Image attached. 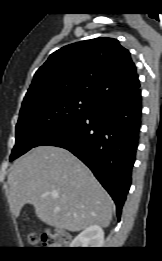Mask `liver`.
<instances>
[{
  "label": "liver",
  "instance_id": "6515ba94",
  "mask_svg": "<svg viewBox=\"0 0 162 261\" xmlns=\"http://www.w3.org/2000/svg\"><path fill=\"white\" fill-rule=\"evenodd\" d=\"M8 184V202L16 218L28 203L42 222L71 232L93 225L106 228L112 220L114 204L109 194L92 172L63 148H33L14 162Z\"/></svg>",
  "mask_w": 162,
  "mask_h": 261
}]
</instances>
